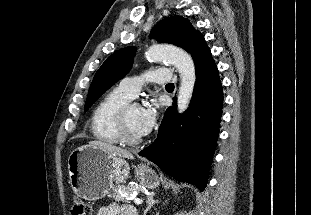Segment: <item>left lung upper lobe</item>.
<instances>
[{
    "instance_id": "obj_1",
    "label": "left lung upper lobe",
    "mask_w": 311,
    "mask_h": 215,
    "mask_svg": "<svg viewBox=\"0 0 311 215\" xmlns=\"http://www.w3.org/2000/svg\"><path fill=\"white\" fill-rule=\"evenodd\" d=\"M151 37L160 43H170L189 51L193 43L202 37L191 23L182 16L167 17L160 21L151 31ZM135 49L127 47L120 49L107 58L96 72L91 83L85 111L111 86L123 78L130 70Z\"/></svg>"
}]
</instances>
